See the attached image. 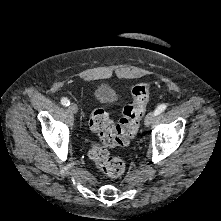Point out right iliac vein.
Segmentation results:
<instances>
[{
  "label": "right iliac vein",
  "mask_w": 221,
  "mask_h": 221,
  "mask_svg": "<svg viewBox=\"0 0 221 221\" xmlns=\"http://www.w3.org/2000/svg\"><path fill=\"white\" fill-rule=\"evenodd\" d=\"M69 110L72 112V113H77L78 112V107H77V105L75 104V103H71L70 105H69Z\"/></svg>",
  "instance_id": "1"
}]
</instances>
